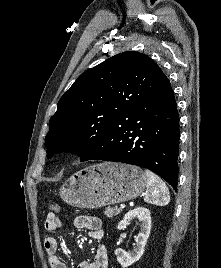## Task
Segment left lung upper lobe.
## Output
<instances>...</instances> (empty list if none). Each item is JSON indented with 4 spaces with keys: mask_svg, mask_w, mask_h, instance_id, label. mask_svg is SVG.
Here are the masks:
<instances>
[{
    "mask_svg": "<svg viewBox=\"0 0 221 268\" xmlns=\"http://www.w3.org/2000/svg\"><path fill=\"white\" fill-rule=\"evenodd\" d=\"M169 84L154 61L135 51L85 71L61 97L49 121L47 157L66 150L87 161L119 117Z\"/></svg>",
    "mask_w": 221,
    "mask_h": 268,
    "instance_id": "obj_1",
    "label": "left lung upper lobe"
}]
</instances>
